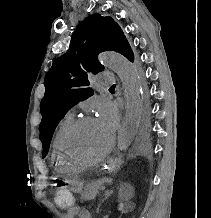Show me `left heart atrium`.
Instances as JSON below:
<instances>
[{"instance_id": "1", "label": "left heart atrium", "mask_w": 211, "mask_h": 218, "mask_svg": "<svg viewBox=\"0 0 211 218\" xmlns=\"http://www.w3.org/2000/svg\"><path fill=\"white\" fill-rule=\"evenodd\" d=\"M96 120L108 132L113 134L118 126V111L108 99H101L97 103Z\"/></svg>"}]
</instances>
